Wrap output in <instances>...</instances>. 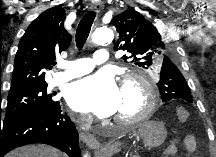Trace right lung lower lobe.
I'll list each match as a JSON object with an SVG mask.
<instances>
[{
  "label": "right lung lower lobe",
  "instance_id": "right-lung-lower-lobe-1",
  "mask_svg": "<svg viewBox=\"0 0 216 157\" xmlns=\"http://www.w3.org/2000/svg\"><path fill=\"white\" fill-rule=\"evenodd\" d=\"M60 104L49 111L37 112L0 125V157L28 144L44 143L69 157H81L78 133L70 118L61 113Z\"/></svg>",
  "mask_w": 216,
  "mask_h": 157
}]
</instances>
